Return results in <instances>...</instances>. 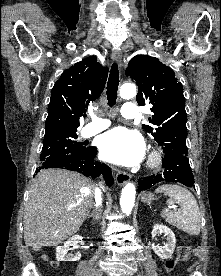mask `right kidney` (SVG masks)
Instances as JSON below:
<instances>
[{
  "label": "right kidney",
  "mask_w": 221,
  "mask_h": 276,
  "mask_svg": "<svg viewBox=\"0 0 221 276\" xmlns=\"http://www.w3.org/2000/svg\"><path fill=\"white\" fill-rule=\"evenodd\" d=\"M81 239L80 236L75 235L73 237H71L70 239H68V241H66L64 243L63 246H58L56 248V258L58 261H78L81 258V254L77 253L74 256H69L67 255L68 251H69V247L70 246H77V244L79 243V240Z\"/></svg>",
  "instance_id": "ca27d5eb"
}]
</instances>
